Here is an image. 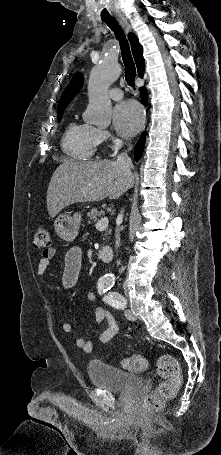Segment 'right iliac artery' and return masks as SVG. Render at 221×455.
I'll return each mask as SVG.
<instances>
[{"label": "right iliac artery", "mask_w": 221, "mask_h": 455, "mask_svg": "<svg viewBox=\"0 0 221 455\" xmlns=\"http://www.w3.org/2000/svg\"><path fill=\"white\" fill-rule=\"evenodd\" d=\"M125 333H126V334H129V333H130V330H129V329H126V330H125Z\"/></svg>", "instance_id": "obj_1"}]
</instances>
